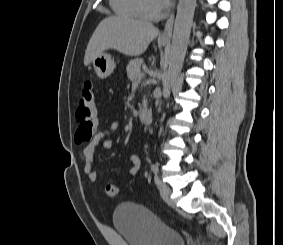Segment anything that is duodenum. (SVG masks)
<instances>
[{"instance_id": "410a0bca", "label": "duodenum", "mask_w": 283, "mask_h": 245, "mask_svg": "<svg viewBox=\"0 0 283 245\" xmlns=\"http://www.w3.org/2000/svg\"><path fill=\"white\" fill-rule=\"evenodd\" d=\"M139 120L142 124H149L152 121V112L149 109H143L139 112Z\"/></svg>"}]
</instances>
